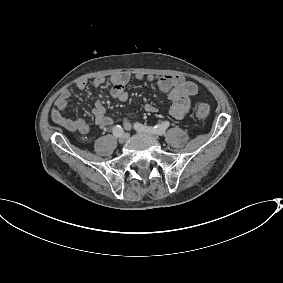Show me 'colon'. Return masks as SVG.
Masks as SVG:
<instances>
[{
    "label": "colon",
    "instance_id": "5ec220e1",
    "mask_svg": "<svg viewBox=\"0 0 283 283\" xmlns=\"http://www.w3.org/2000/svg\"><path fill=\"white\" fill-rule=\"evenodd\" d=\"M210 113V107L206 103L199 104L195 109V115L199 119L206 118Z\"/></svg>",
    "mask_w": 283,
    "mask_h": 283
}]
</instances>
